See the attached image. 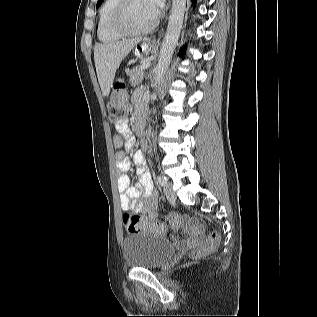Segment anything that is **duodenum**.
Masks as SVG:
<instances>
[{
  "label": "duodenum",
  "mask_w": 317,
  "mask_h": 317,
  "mask_svg": "<svg viewBox=\"0 0 317 317\" xmlns=\"http://www.w3.org/2000/svg\"><path fill=\"white\" fill-rule=\"evenodd\" d=\"M136 130L139 136L143 134V129L140 122L137 123Z\"/></svg>",
  "instance_id": "410a0bca"
}]
</instances>
